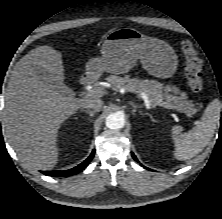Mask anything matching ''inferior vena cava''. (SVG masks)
<instances>
[{"label":"inferior vena cava","instance_id":"obj_1","mask_svg":"<svg viewBox=\"0 0 222 219\" xmlns=\"http://www.w3.org/2000/svg\"><path fill=\"white\" fill-rule=\"evenodd\" d=\"M103 106V102L99 99L89 100L84 103L83 108L93 109L94 111H99Z\"/></svg>","mask_w":222,"mask_h":219}]
</instances>
